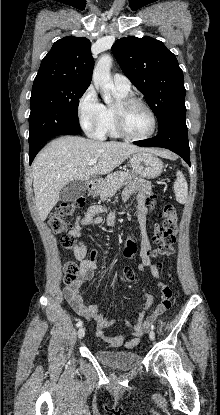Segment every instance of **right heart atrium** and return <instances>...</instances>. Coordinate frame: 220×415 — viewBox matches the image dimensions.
Listing matches in <instances>:
<instances>
[{"label": "right heart atrium", "mask_w": 220, "mask_h": 415, "mask_svg": "<svg viewBox=\"0 0 220 415\" xmlns=\"http://www.w3.org/2000/svg\"><path fill=\"white\" fill-rule=\"evenodd\" d=\"M77 113L81 127L92 138L101 139L107 112L96 90L89 86L78 101Z\"/></svg>", "instance_id": "d8ad5b80"}]
</instances>
